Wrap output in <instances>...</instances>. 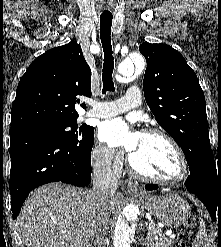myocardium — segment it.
I'll list each match as a JSON object with an SVG mask.
<instances>
[{"mask_svg":"<svg viewBox=\"0 0 221 247\" xmlns=\"http://www.w3.org/2000/svg\"><path fill=\"white\" fill-rule=\"evenodd\" d=\"M142 133L146 135H153V136L161 137L164 140H166L174 148V150L176 151L180 159L181 174L174 179H162V178H158V177L143 173L134 165L129 155L127 158V162H128V167H129L130 172L141 180L153 182V183H157L161 185H177V184H181L185 182L190 175V167H189L187 157L183 149L179 145V143L169 133L161 129L148 128V129L143 130Z\"/></svg>","mask_w":221,"mask_h":247,"instance_id":"obj_1","label":"myocardium"}]
</instances>
